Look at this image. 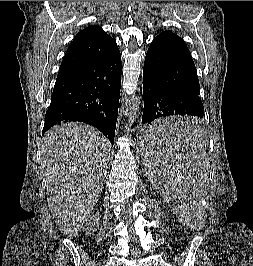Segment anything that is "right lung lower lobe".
I'll list each match as a JSON object with an SVG mask.
<instances>
[{
  "instance_id": "right-lung-lower-lobe-1",
  "label": "right lung lower lobe",
  "mask_w": 253,
  "mask_h": 266,
  "mask_svg": "<svg viewBox=\"0 0 253 266\" xmlns=\"http://www.w3.org/2000/svg\"><path fill=\"white\" fill-rule=\"evenodd\" d=\"M121 87L119 49L107 58L56 79L42 134L50 127L80 121L114 143Z\"/></svg>"
}]
</instances>
